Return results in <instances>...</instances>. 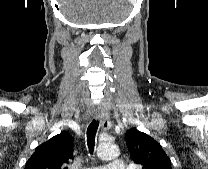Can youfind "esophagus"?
I'll use <instances>...</instances> for the list:
<instances>
[{
  "label": "esophagus",
  "mask_w": 208,
  "mask_h": 169,
  "mask_svg": "<svg viewBox=\"0 0 208 169\" xmlns=\"http://www.w3.org/2000/svg\"><path fill=\"white\" fill-rule=\"evenodd\" d=\"M95 118L100 121L101 128L106 131L111 127L109 113L105 110H98Z\"/></svg>",
  "instance_id": "esophagus-1"
}]
</instances>
